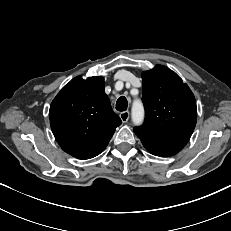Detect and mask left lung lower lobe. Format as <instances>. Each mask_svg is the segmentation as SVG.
<instances>
[{
  "label": "left lung lower lobe",
  "instance_id": "0a47b994",
  "mask_svg": "<svg viewBox=\"0 0 231 231\" xmlns=\"http://www.w3.org/2000/svg\"><path fill=\"white\" fill-rule=\"evenodd\" d=\"M141 142L144 145V147L153 155L160 156V157H169L176 154L171 150L161 148L157 145L149 143L148 141L141 140Z\"/></svg>",
  "mask_w": 231,
  "mask_h": 231
}]
</instances>
